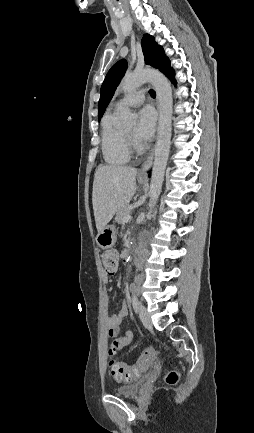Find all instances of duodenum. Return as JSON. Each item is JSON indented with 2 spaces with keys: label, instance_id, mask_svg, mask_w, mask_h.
Wrapping results in <instances>:
<instances>
[{
  "label": "duodenum",
  "instance_id": "duodenum-1",
  "mask_svg": "<svg viewBox=\"0 0 254 433\" xmlns=\"http://www.w3.org/2000/svg\"><path fill=\"white\" fill-rule=\"evenodd\" d=\"M130 249H131L130 243L127 242L126 243V253H127V255L130 253Z\"/></svg>",
  "mask_w": 254,
  "mask_h": 433
}]
</instances>
